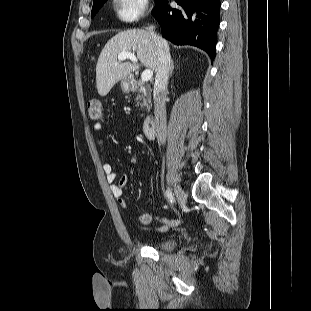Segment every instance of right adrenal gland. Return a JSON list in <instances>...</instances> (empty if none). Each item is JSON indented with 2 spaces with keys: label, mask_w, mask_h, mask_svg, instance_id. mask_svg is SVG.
<instances>
[{
  "label": "right adrenal gland",
  "mask_w": 311,
  "mask_h": 311,
  "mask_svg": "<svg viewBox=\"0 0 311 311\" xmlns=\"http://www.w3.org/2000/svg\"><path fill=\"white\" fill-rule=\"evenodd\" d=\"M173 71H174V61H173V60H171L170 74H169V76H170V77L172 76Z\"/></svg>",
  "instance_id": "right-adrenal-gland-1"
}]
</instances>
